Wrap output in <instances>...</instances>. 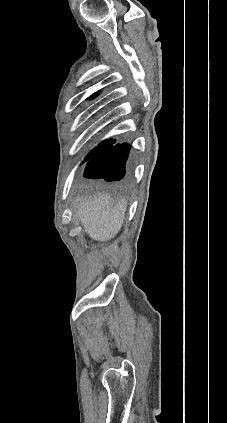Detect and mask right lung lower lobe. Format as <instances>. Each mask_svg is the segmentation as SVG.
<instances>
[{
  "instance_id": "obj_1",
  "label": "right lung lower lobe",
  "mask_w": 227,
  "mask_h": 423,
  "mask_svg": "<svg viewBox=\"0 0 227 423\" xmlns=\"http://www.w3.org/2000/svg\"><path fill=\"white\" fill-rule=\"evenodd\" d=\"M129 149L128 144H117L96 154L87 163L84 176L106 181L120 180L125 174Z\"/></svg>"
}]
</instances>
